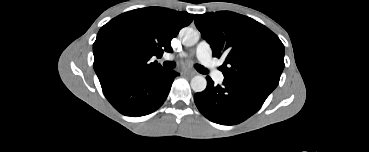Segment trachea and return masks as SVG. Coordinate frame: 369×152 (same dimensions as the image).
<instances>
[{
	"mask_svg": "<svg viewBox=\"0 0 369 152\" xmlns=\"http://www.w3.org/2000/svg\"><path fill=\"white\" fill-rule=\"evenodd\" d=\"M163 65L165 68H168V69H173L176 66L175 62L173 61H166L163 63ZM194 67L198 72L202 74H206L208 72L207 69H205L202 65L195 64Z\"/></svg>",
	"mask_w": 369,
	"mask_h": 152,
	"instance_id": "trachea-1",
	"label": "trachea"
}]
</instances>
